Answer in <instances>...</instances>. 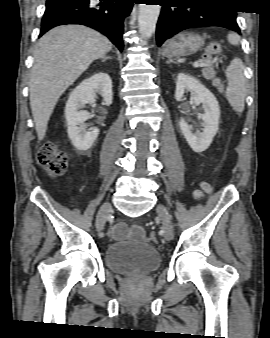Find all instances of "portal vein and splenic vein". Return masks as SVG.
I'll list each match as a JSON object with an SVG mask.
<instances>
[{
    "mask_svg": "<svg viewBox=\"0 0 270 338\" xmlns=\"http://www.w3.org/2000/svg\"><path fill=\"white\" fill-rule=\"evenodd\" d=\"M193 66L197 68V67L204 66V64L200 63L199 61H196V62H194Z\"/></svg>",
    "mask_w": 270,
    "mask_h": 338,
    "instance_id": "18ae733b",
    "label": "portal vein and splenic vein"
}]
</instances>
